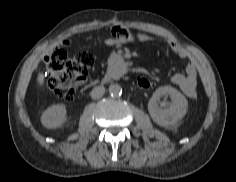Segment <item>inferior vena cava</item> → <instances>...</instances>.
I'll list each match as a JSON object with an SVG mask.
<instances>
[{"mask_svg":"<svg viewBox=\"0 0 236 182\" xmlns=\"http://www.w3.org/2000/svg\"><path fill=\"white\" fill-rule=\"evenodd\" d=\"M105 93V88L103 86H96L91 91V97L93 99H99L101 98Z\"/></svg>","mask_w":236,"mask_h":182,"instance_id":"602c4592","label":"inferior vena cava"}]
</instances>
